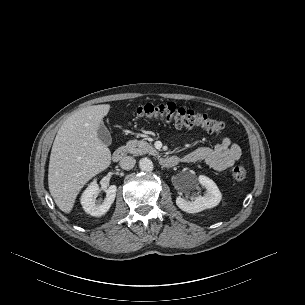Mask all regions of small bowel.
I'll return each mask as SVG.
<instances>
[{
    "instance_id": "obj_1",
    "label": "small bowel",
    "mask_w": 305,
    "mask_h": 305,
    "mask_svg": "<svg viewBox=\"0 0 305 305\" xmlns=\"http://www.w3.org/2000/svg\"><path fill=\"white\" fill-rule=\"evenodd\" d=\"M242 154L241 147L229 137H223L214 147H200L182 157V162H202L216 171H224L236 164Z\"/></svg>"
}]
</instances>
